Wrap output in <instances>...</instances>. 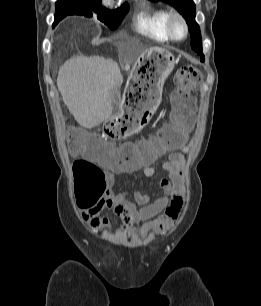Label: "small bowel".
<instances>
[{
    "label": "small bowel",
    "instance_id": "1",
    "mask_svg": "<svg viewBox=\"0 0 261 306\" xmlns=\"http://www.w3.org/2000/svg\"><path fill=\"white\" fill-rule=\"evenodd\" d=\"M109 149L113 150L111 147ZM187 149L188 147H184L166 156L162 167L168 177L159 179L157 183V188L164 193V196L154 200L143 192H136L133 199H130L126 191L114 190L115 175L118 173L141 171L146 177H152L155 171L150 165L151 162L111 167L106 173L107 189L104 197L94 207L82 212V218L94 229H102L109 221L105 217H99V213L104 209H113L121 219V231L129 237L165 231L180 217L184 201V153ZM137 223L143 224L137 228L135 227Z\"/></svg>",
    "mask_w": 261,
    "mask_h": 306
}]
</instances>
